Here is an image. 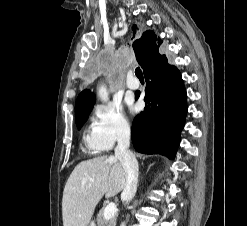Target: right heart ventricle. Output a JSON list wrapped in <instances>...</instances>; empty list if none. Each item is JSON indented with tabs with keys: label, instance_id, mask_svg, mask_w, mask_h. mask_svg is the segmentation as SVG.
<instances>
[{
	"label": "right heart ventricle",
	"instance_id": "obj_1",
	"mask_svg": "<svg viewBox=\"0 0 247 226\" xmlns=\"http://www.w3.org/2000/svg\"><path fill=\"white\" fill-rule=\"evenodd\" d=\"M87 145H88V150H89V152L92 153V154H97V153H100L101 151H103V150L100 149V148L91 146V145L88 143V137H87Z\"/></svg>",
	"mask_w": 247,
	"mask_h": 226
}]
</instances>
